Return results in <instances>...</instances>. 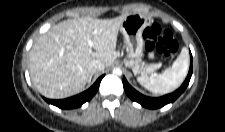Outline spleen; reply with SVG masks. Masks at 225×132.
<instances>
[{
    "label": "spleen",
    "instance_id": "obj_1",
    "mask_svg": "<svg viewBox=\"0 0 225 132\" xmlns=\"http://www.w3.org/2000/svg\"><path fill=\"white\" fill-rule=\"evenodd\" d=\"M189 68V52L183 47L176 61L158 76H141L137 81L155 94H166L177 89L186 78Z\"/></svg>",
    "mask_w": 225,
    "mask_h": 132
}]
</instances>
